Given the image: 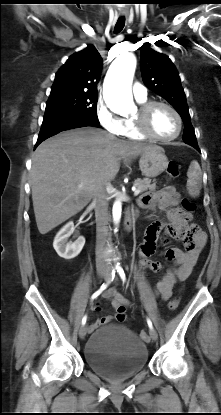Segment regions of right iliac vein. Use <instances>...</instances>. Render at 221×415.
Segmentation results:
<instances>
[{
	"label": "right iliac vein",
	"mask_w": 221,
	"mask_h": 415,
	"mask_svg": "<svg viewBox=\"0 0 221 415\" xmlns=\"http://www.w3.org/2000/svg\"><path fill=\"white\" fill-rule=\"evenodd\" d=\"M98 275H99L100 278H107L108 277V274L105 271H99ZM87 330H88L87 325L84 324V325L81 326V328L79 330V336H80L81 339H83L86 336Z\"/></svg>",
	"instance_id": "right-iliac-vein-1"
}]
</instances>
